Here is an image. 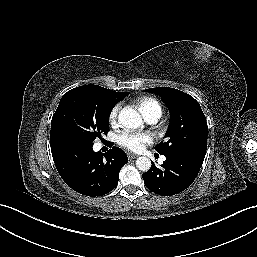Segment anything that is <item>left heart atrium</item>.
Here are the masks:
<instances>
[{"mask_svg": "<svg viewBox=\"0 0 257 257\" xmlns=\"http://www.w3.org/2000/svg\"><path fill=\"white\" fill-rule=\"evenodd\" d=\"M153 136L145 132L124 131L118 136V143L131 151H141L153 142Z\"/></svg>", "mask_w": 257, "mask_h": 257, "instance_id": "39dd6f15", "label": "left heart atrium"}]
</instances>
